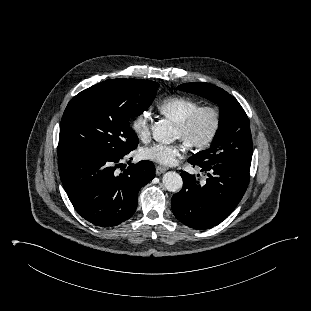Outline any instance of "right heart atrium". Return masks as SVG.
<instances>
[{"instance_id": "d8ad5b80", "label": "right heart atrium", "mask_w": 311, "mask_h": 311, "mask_svg": "<svg viewBox=\"0 0 311 311\" xmlns=\"http://www.w3.org/2000/svg\"><path fill=\"white\" fill-rule=\"evenodd\" d=\"M131 129L136 137L146 141L151 134V116L148 111L137 114L131 121Z\"/></svg>"}]
</instances>
